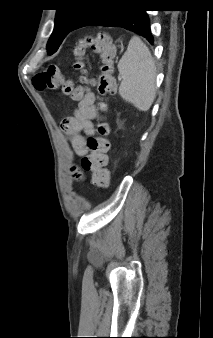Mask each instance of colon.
<instances>
[{"label": "colon", "instance_id": "obj_1", "mask_svg": "<svg viewBox=\"0 0 213 338\" xmlns=\"http://www.w3.org/2000/svg\"><path fill=\"white\" fill-rule=\"evenodd\" d=\"M89 49H92L104 63L95 81L89 78L85 69L84 58ZM74 52L78 58L75 66L81 71L82 84H94L100 97L112 94L116 83L109 64L117 56V46L111 42L110 38L107 35H88L76 41ZM33 84L40 91L57 90L74 100L80 97V90L71 80L65 78L59 67L54 64L45 65L42 71L34 77ZM100 107L104 110L106 104L101 101ZM62 127L69 131H75L78 128V123L74 118H66L62 122ZM108 133V125L105 122L99 124L97 134L87 138L89 153L81 160V168L92 174L93 184L98 188L108 187L112 181L111 172L107 167Z\"/></svg>", "mask_w": 213, "mask_h": 338}]
</instances>
